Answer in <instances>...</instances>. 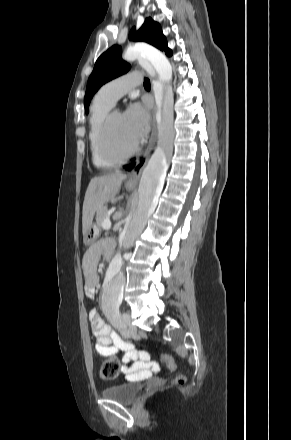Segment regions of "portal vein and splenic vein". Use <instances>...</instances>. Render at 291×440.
<instances>
[{
    "label": "portal vein and splenic vein",
    "instance_id": "1",
    "mask_svg": "<svg viewBox=\"0 0 291 440\" xmlns=\"http://www.w3.org/2000/svg\"><path fill=\"white\" fill-rule=\"evenodd\" d=\"M114 210H115V209H113V211H114ZM102 227H103V229H106V230H108V229L111 228L110 215H108V216L105 218V220L103 221Z\"/></svg>",
    "mask_w": 291,
    "mask_h": 440
}]
</instances>
